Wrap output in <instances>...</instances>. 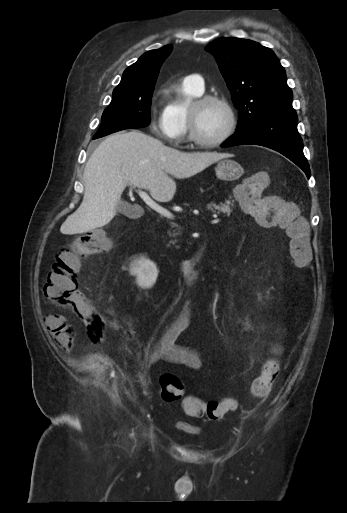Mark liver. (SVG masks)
Masks as SVG:
<instances>
[{"instance_id": "6515ba94", "label": "liver", "mask_w": 347, "mask_h": 513, "mask_svg": "<svg viewBox=\"0 0 347 513\" xmlns=\"http://www.w3.org/2000/svg\"><path fill=\"white\" fill-rule=\"evenodd\" d=\"M231 156L218 152H181L141 131L112 134L88 160L83 174V201L60 231L81 234L107 225L116 215L127 185L145 188L155 200L169 202L176 192V183L169 175L190 178Z\"/></svg>"}]
</instances>
